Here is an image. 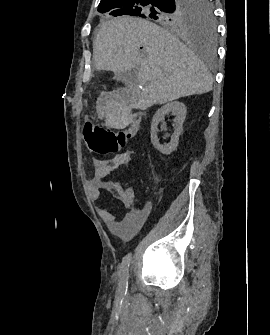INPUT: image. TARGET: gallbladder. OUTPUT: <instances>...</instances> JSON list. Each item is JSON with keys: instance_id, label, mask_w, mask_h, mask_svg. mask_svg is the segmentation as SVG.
<instances>
[{"instance_id": "1", "label": "gallbladder", "mask_w": 270, "mask_h": 335, "mask_svg": "<svg viewBox=\"0 0 270 335\" xmlns=\"http://www.w3.org/2000/svg\"><path fill=\"white\" fill-rule=\"evenodd\" d=\"M130 72H132V70H130ZM126 76H128V72H120V74H118V78H121V80L126 78Z\"/></svg>"}]
</instances>
